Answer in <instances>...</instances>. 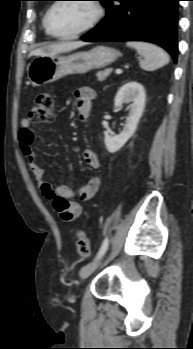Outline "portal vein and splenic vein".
I'll return each instance as SVG.
<instances>
[{
  "label": "portal vein and splenic vein",
  "mask_w": 193,
  "mask_h": 349,
  "mask_svg": "<svg viewBox=\"0 0 193 349\" xmlns=\"http://www.w3.org/2000/svg\"><path fill=\"white\" fill-rule=\"evenodd\" d=\"M115 73H116V74H121V73H122V70H121L120 68H117V69L115 70Z\"/></svg>",
  "instance_id": "obj_1"
}]
</instances>
